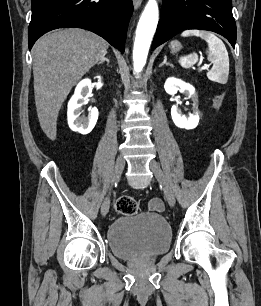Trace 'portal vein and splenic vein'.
Segmentation results:
<instances>
[{
    "mask_svg": "<svg viewBox=\"0 0 261 306\" xmlns=\"http://www.w3.org/2000/svg\"><path fill=\"white\" fill-rule=\"evenodd\" d=\"M210 67L209 64H204L203 66L200 67V70H205L208 69Z\"/></svg>",
    "mask_w": 261,
    "mask_h": 306,
    "instance_id": "18ae733b",
    "label": "portal vein and splenic vein"
}]
</instances>
